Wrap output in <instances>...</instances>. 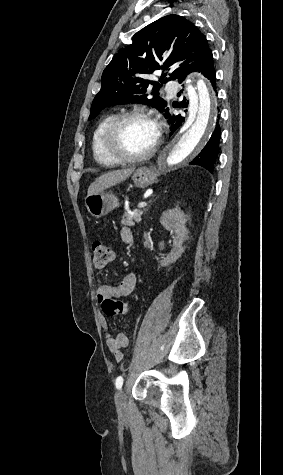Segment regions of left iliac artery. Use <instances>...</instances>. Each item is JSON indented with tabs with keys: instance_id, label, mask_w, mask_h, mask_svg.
Wrapping results in <instances>:
<instances>
[{
	"instance_id": "1",
	"label": "left iliac artery",
	"mask_w": 283,
	"mask_h": 475,
	"mask_svg": "<svg viewBox=\"0 0 283 475\" xmlns=\"http://www.w3.org/2000/svg\"><path fill=\"white\" fill-rule=\"evenodd\" d=\"M161 349H163V347H161ZM115 385H116L117 389H121V387L123 385V377L122 376L117 377Z\"/></svg>"
}]
</instances>
